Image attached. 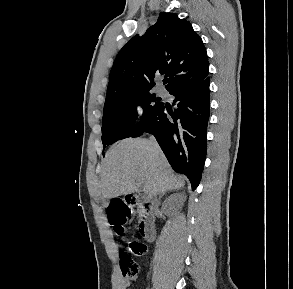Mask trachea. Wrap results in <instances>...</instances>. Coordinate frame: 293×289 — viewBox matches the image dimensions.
Here are the masks:
<instances>
[{
	"instance_id": "1",
	"label": "trachea",
	"mask_w": 293,
	"mask_h": 289,
	"mask_svg": "<svg viewBox=\"0 0 293 289\" xmlns=\"http://www.w3.org/2000/svg\"><path fill=\"white\" fill-rule=\"evenodd\" d=\"M163 83H164V84L167 83V80H163Z\"/></svg>"
}]
</instances>
